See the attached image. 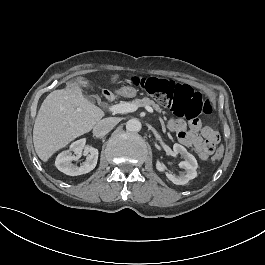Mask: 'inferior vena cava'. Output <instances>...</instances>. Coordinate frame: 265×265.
<instances>
[{
    "mask_svg": "<svg viewBox=\"0 0 265 265\" xmlns=\"http://www.w3.org/2000/svg\"><path fill=\"white\" fill-rule=\"evenodd\" d=\"M116 125L114 118H104L100 120L93 128V136L96 138L103 137Z\"/></svg>",
    "mask_w": 265,
    "mask_h": 265,
    "instance_id": "inferior-vena-cava-1",
    "label": "inferior vena cava"
}]
</instances>
